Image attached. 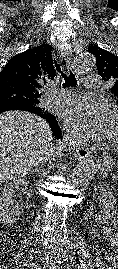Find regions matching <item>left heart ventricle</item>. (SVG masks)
<instances>
[{"label": "left heart ventricle", "instance_id": "1", "mask_svg": "<svg viewBox=\"0 0 118 269\" xmlns=\"http://www.w3.org/2000/svg\"><path fill=\"white\" fill-rule=\"evenodd\" d=\"M105 137L109 141L118 142V113L116 112H112V117L108 126V132Z\"/></svg>", "mask_w": 118, "mask_h": 269}]
</instances>
